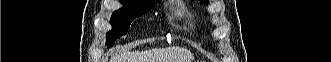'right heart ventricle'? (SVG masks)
Segmentation results:
<instances>
[{
    "label": "right heart ventricle",
    "mask_w": 331,
    "mask_h": 62,
    "mask_svg": "<svg viewBox=\"0 0 331 62\" xmlns=\"http://www.w3.org/2000/svg\"><path fill=\"white\" fill-rule=\"evenodd\" d=\"M174 13L177 15V16H184V9L181 8V7H178L174 10Z\"/></svg>",
    "instance_id": "obj_1"
}]
</instances>
